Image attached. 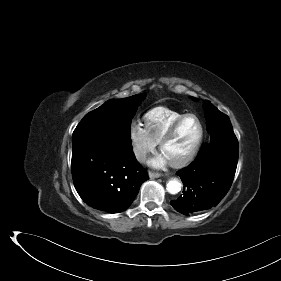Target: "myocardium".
Segmentation results:
<instances>
[{
    "mask_svg": "<svg viewBox=\"0 0 281 281\" xmlns=\"http://www.w3.org/2000/svg\"><path fill=\"white\" fill-rule=\"evenodd\" d=\"M188 117H194L198 121L199 136H198V139H197L196 143L194 144V146L192 147V149L188 153H186L184 156L180 157L179 159L170 161V164L174 167H181V166H184V165L188 164L189 162H191L194 159V157L197 155L198 151L200 150L202 142H203V138H204V126H203L202 120L195 113H186V114L182 115L181 117H179L169 127V129L166 131V133L163 135V137L159 141V149L162 152L164 146L174 137V135L176 134L180 125Z\"/></svg>",
    "mask_w": 281,
    "mask_h": 281,
    "instance_id": "myocardium-1",
    "label": "myocardium"
}]
</instances>
